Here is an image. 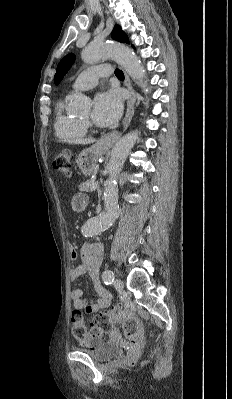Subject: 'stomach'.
<instances>
[{"label": "stomach", "instance_id": "1", "mask_svg": "<svg viewBox=\"0 0 232 399\" xmlns=\"http://www.w3.org/2000/svg\"><path fill=\"white\" fill-rule=\"evenodd\" d=\"M108 150L102 148L101 142H97L91 148H86L78 154L76 164L84 176H91L95 166H97L100 158L106 154Z\"/></svg>", "mask_w": 232, "mask_h": 399}]
</instances>
